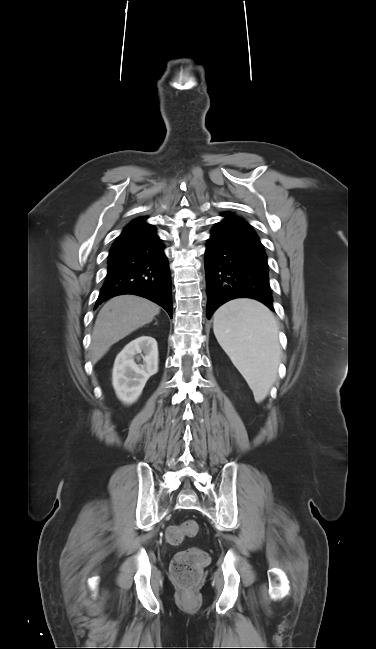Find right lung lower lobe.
<instances>
[{"instance_id": "1", "label": "right lung lower lobe", "mask_w": 376, "mask_h": 649, "mask_svg": "<svg viewBox=\"0 0 376 649\" xmlns=\"http://www.w3.org/2000/svg\"><path fill=\"white\" fill-rule=\"evenodd\" d=\"M163 249L155 228L117 238L95 308L111 297L134 294L157 303L172 318L171 276Z\"/></svg>"}]
</instances>
